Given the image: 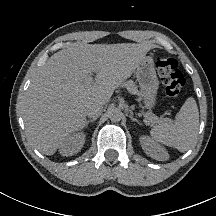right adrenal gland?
<instances>
[{
	"instance_id": "2a0ac1e0",
	"label": "right adrenal gland",
	"mask_w": 216,
	"mask_h": 216,
	"mask_svg": "<svg viewBox=\"0 0 216 216\" xmlns=\"http://www.w3.org/2000/svg\"><path fill=\"white\" fill-rule=\"evenodd\" d=\"M96 120H97V117L87 120L85 123V127H87L90 122H94Z\"/></svg>"
}]
</instances>
